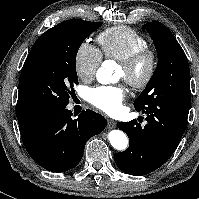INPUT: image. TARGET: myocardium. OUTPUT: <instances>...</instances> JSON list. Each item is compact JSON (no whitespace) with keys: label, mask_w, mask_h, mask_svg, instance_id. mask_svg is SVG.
<instances>
[{"label":"myocardium","mask_w":199,"mask_h":199,"mask_svg":"<svg viewBox=\"0 0 199 199\" xmlns=\"http://www.w3.org/2000/svg\"><path fill=\"white\" fill-rule=\"evenodd\" d=\"M119 64L127 73L126 82L133 88L143 89L155 75L157 57L154 51L146 47L120 60Z\"/></svg>","instance_id":"1"}]
</instances>
